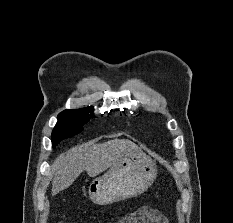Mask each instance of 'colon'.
Listing matches in <instances>:
<instances>
[{
    "label": "colon",
    "instance_id": "5ec220e1",
    "mask_svg": "<svg viewBox=\"0 0 233 223\" xmlns=\"http://www.w3.org/2000/svg\"><path fill=\"white\" fill-rule=\"evenodd\" d=\"M141 214L129 216L120 221V223H168L158 211L151 209H141Z\"/></svg>",
    "mask_w": 233,
    "mask_h": 223
}]
</instances>
